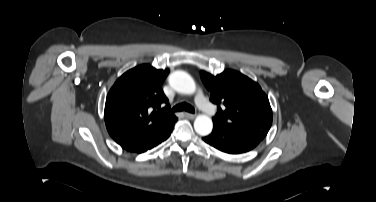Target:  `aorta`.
I'll return each instance as SVG.
<instances>
[{
	"instance_id": "762f6f07",
	"label": "aorta",
	"mask_w": 376,
	"mask_h": 202,
	"mask_svg": "<svg viewBox=\"0 0 376 202\" xmlns=\"http://www.w3.org/2000/svg\"><path fill=\"white\" fill-rule=\"evenodd\" d=\"M170 86L177 92L192 94L196 91V84L193 78L184 71H175L169 76ZM213 123L207 115H198L194 121V129L201 136L209 135L212 131Z\"/></svg>"
}]
</instances>
